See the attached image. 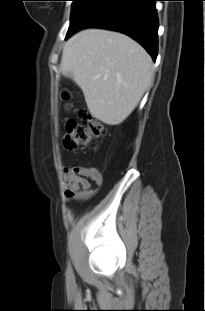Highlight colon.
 Segmentation results:
<instances>
[{"instance_id":"5ec220e1","label":"colon","mask_w":205,"mask_h":311,"mask_svg":"<svg viewBox=\"0 0 205 311\" xmlns=\"http://www.w3.org/2000/svg\"><path fill=\"white\" fill-rule=\"evenodd\" d=\"M105 130L101 122L94 119L87 111H78V120H65V136L63 145L68 150L83 151L96 139L104 136Z\"/></svg>"}]
</instances>
